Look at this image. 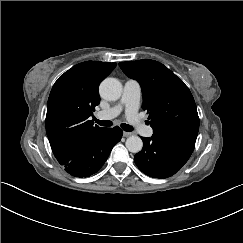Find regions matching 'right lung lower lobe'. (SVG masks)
Instances as JSON below:
<instances>
[{
  "label": "right lung lower lobe",
  "mask_w": 243,
  "mask_h": 243,
  "mask_svg": "<svg viewBox=\"0 0 243 243\" xmlns=\"http://www.w3.org/2000/svg\"><path fill=\"white\" fill-rule=\"evenodd\" d=\"M119 127L103 128L94 134L88 142L63 166L75 177H88L96 173L106 162L112 148L122 137Z\"/></svg>",
  "instance_id": "1"
}]
</instances>
